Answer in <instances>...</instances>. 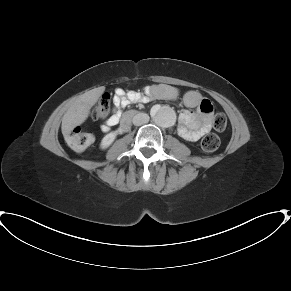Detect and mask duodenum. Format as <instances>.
Masks as SVG:
<instances>
[{
    "label": "duodenum",
    "mask_w": 291,
    "mask_h": 291,
    "mask_svg": "<svg viewBox=\"0 0 291 291\" xmlns=\"http://www.w3.org/2000/svg\"><path fill=\"white\" fill-rule=\"evenodd\" d=\"M136 115H138V112L135 110H130V111H127L126 113H124V115L122 117L120 129L122 131H127L129 129V123H130L131 119L133 117H135Z\"/></svg>",
    "instance_id": "1"
}]
</instances>
